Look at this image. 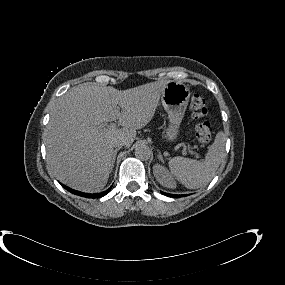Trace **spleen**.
Listing matches in <instances>:
<instances>
[{
    "instance_id": "3e777b00",
    "label": "spleen",
    "mask_w": 285,
    "mask_h": 285,
    "mask_svg": "<svg viewBox=\"0 0 285 285\" xmlns=\"http://www.w3.org/2000/svg\"><path fill=\"white\" fill-rule=\"evenodd\" d=\"M225 141L224 133H217L204 161L180 156L172 158L168 163L171 174L186 188L198 189L206 186L213 179L225 157Z\"/></svg>"
}]
</instances>
